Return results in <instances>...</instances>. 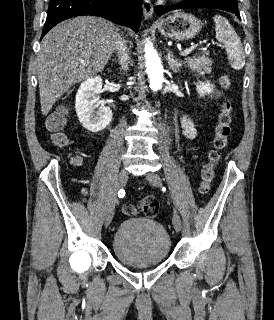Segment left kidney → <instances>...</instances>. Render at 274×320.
Wrapping results in <instances>:
<instances>
[{"label":"left kidney","mask_w":274,"mask_h":320,"mask_svg":"<svg viewBox=\"0 0 274 320\" xmlns=\"http://www.w3.org/2000/svg\"><path fill=\"white\" fill-rule=\"evenodd\" d=\"M215 86L210 84V82H197L196 90L198 96L203 98V96H209V98H218L220 96V92L218 90H214Z\"/></svg>","instance_id":"left-kidney-1"}]
</instances>
